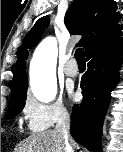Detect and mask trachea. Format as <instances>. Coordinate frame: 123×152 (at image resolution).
<instances>
[{"mask_svg": "<svg viewBox=\"0 0 123 152\" xmlns=\"http://www.w3.org/2000/svg\"><path fill=\"white\" fill-rule=\"evenodd\" d=\"M75 58L78 64H85L84 49L78 48L75 52Z\"/></svg>", "mask_w": 123, "mask_h": 152, "instance_id": "1", "label": "trachea"}]
</instances>
